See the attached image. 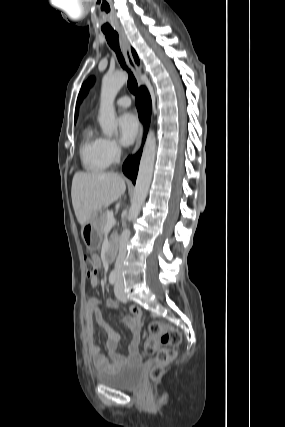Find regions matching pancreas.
I'll return each mask as SVG.
<instances>
[{
  "label": "pancreas",
  "mask_w": 285,
  "mask_h": 427,
  "mask_svg": "<svg viewBox=\"0 0 285 427\" xmlns=\"http://www.w3.org/2000/svg\"><path fill=\"white\" fill-rule=\"evenodd\" d=\"M108 210L104 211L101 215H100V219H99V223H98V227L101 233L104 232V228L107 224V214H108ZM113 237V235H112Z\"/></svg>",
  "instance_id": "obj_1"
}]
</instances>
